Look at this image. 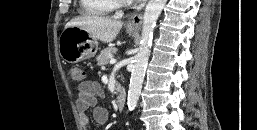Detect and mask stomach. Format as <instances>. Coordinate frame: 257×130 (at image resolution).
<instances>
[{
  "label": "stomach",
  "mask_w": 257,
  "mask_h": 130,
  "mask_svg": "<svg viewBox=\"0 0 257 130\" xmlns=\"http://www.w3.org/2000/svg\"><path fill=\"white\" fill-rule=\"evenodd\" d=\"M128 34H134L136 29L127 27ZM59 53L64 61L76 63L95 55L96 41L80 27H65L59 37Z\"/></svg>",
  "instance_id": "stomach-1"
}]
</instances>
